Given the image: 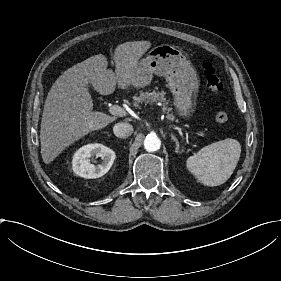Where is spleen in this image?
I'll use <instances>...</instances> for the list:
<instances>
[{
	"label": "spleen",
	"mask_w": 281,
	"mask_h": 281,
	"mask_svg": "<svg viewBox=\"0 0 281 281\" xmlns=\"http://www.w3.org/2000/svg\"><path fill=\"white\" fill-rule=\"evenodd\" d=\"M241 155V146L226 139L201 149L187 160L189 170L204 184L218 186L233 174Z\"/></svg>",
	"instance_id": "obj_1"
}]
</instances>
